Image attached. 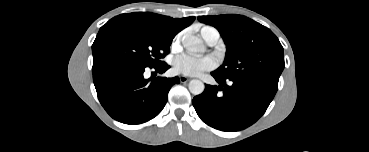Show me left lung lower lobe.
<instances>
[{
    "label": "left lung lower lobe",
    "instance_id": "obj_1",
    "mask_svg": "<svg viewBox=\"0 0 369 152\" xmlns=\"http://www.w3.org/2000/svg\"><path fill=\"white\" fill-rule=\"evenodd\" d=\"M219 86L205 85L193 98V106L207 125L225 132L243 130L254 124L273 100L278 83L259 79H226L214 72Z\"/></svg>",
    "mask_w": 369,
    "mask_h": 152
}]
</instances>
